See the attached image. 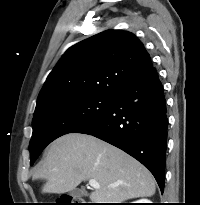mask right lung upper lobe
Masks as SVG:
<instances>
[{"instance_id": "cb5924a9", "label": "right lung upper lobe", "mask_w": 200, "mask_h": 205, "mask_svg": "<svg viewBox=\"0 0 200 205\" xmlns=\"http://www.w3.org/2000/svg\"><path fill=\"white\" fill-rule=\"evenodd\" d=\"M152 68L149 54L132 33L101 32L65 52L47 77L34 114L72 97H115Z\"/></svg>"}]
</instances>
